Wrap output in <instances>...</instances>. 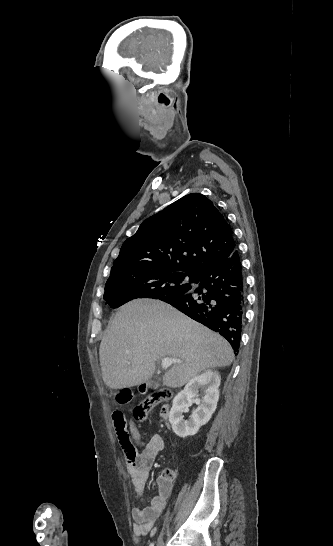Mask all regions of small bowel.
Segmentation results:
<instances>
[{
  "instance_id": "1",
  "label": "small bowel",
  "mask_w": 333,
  "mask_h": 546,
  "mask_svg": "<svg viewBox=\"0 0 333 546\" xmlns=\"http://www.w3.org/2000/svg\"><path fill=\"white\" fill-rule=\"evenodd\" d=\"M129 434L135 446L142 448L134 458L126 457V466L137 497V504L132 510L133 530L136 535L144 536L153 532L156 520L161 516L169 501L172 492L171 479L175 475V471L170 470L162 474L154 483L156 495L148 506L142 507L140 503L149 472L158 454L164 449V440L160 435H153L148 442H144L133 422L130 423Z\"/></svg>"
}]
</instances>
